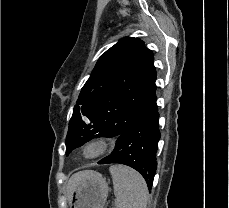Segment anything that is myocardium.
I'll list each match as a JSON object with an SVG mask.
<instances>
[{"label":"myocardium","instance_id":"obj_1","mask_svg":"<svg viewBox=\"0 0 229 208\" xmlns=\"http://www.w3.org/2000/svg\"><path fill=\"white\" fill-rule=\"evenodd\" d=\"M104 139L107 140L109 143L104 142L105 141ZM98 140H100L101 142H96ZM118 145H119V139L116 134L111 132L101 131L87 138L79 145L78 155L84 161L94 162L114 152L118 147ZM86 147H107V148L96 155L87 156L84 153Z\"/></svg>","mask_w":229,"mask_h":208}]
</instances>
